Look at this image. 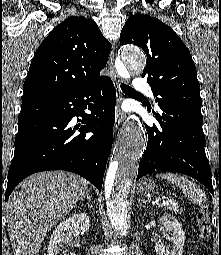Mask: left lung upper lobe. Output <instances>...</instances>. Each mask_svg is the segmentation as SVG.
Masks as SVG:
<instances>
[{"mask_svg": "<svg viewBox=\"0 0 221 255\" xmlns=\"http://www.w3.org/2000/svg\"><path fill=\"white\" fill-rule=\"evenodd\" d=\"M120 43L135 44L147 56V78L158 106L173 105L201 115L200 84L188 48L168 25L145 14L130 16Z\"/></svg>", "mask_w": 221, "mask_h": 255, "instance_id": "1", "label": "left lung upper lobe"}]
</instances>
